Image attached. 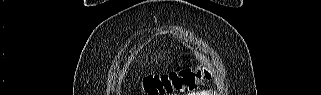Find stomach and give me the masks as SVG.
<instances>
[{
    "label": "stomach",
    "mask_w": 321,
    "mask_h": 95,
    "mask_svg": "<svg viewBox=\"0 0 321 95\" xmlns=\"http://www.w3.org/2000/svg\"><path fill=\"white\" fill-rule=\"evenodd\" d=\"M183 66V65H182ZM184 69H187V67L185 66V67H183Z\"/></svg>",
    "instance_id": "stomach-1"
}]
</instances>
